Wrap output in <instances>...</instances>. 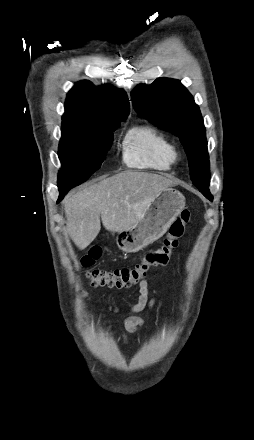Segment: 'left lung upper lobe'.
Returning <instances> with one entry per match:
<instances>
[{
	"label": "left lung upper lobe",
	"instance_id": "left-lung-upper-lobe-1",
	"mask_svg": "<svg viewBox=\"0 0 254 440\" xmlns=\"http://www.w3.org/2000/svg\"><path fill=\"white\" fill-rule=\"evenodd\" d=\"M135 110L161 129L179 137L186 151L192 183L209 200L206 131L198 105L180 81L158 78L131 93Z\"/></svg>",
	"mask_w": 254,
	"mask_h": 440
}]
</instances>
